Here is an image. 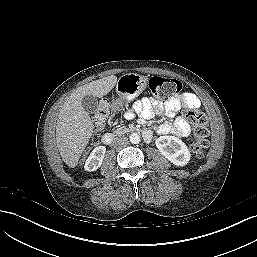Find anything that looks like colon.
Instances as JSON below:
<instances>
[{
  "label": "colon",
  "mask_w": 257,
  "mask_h": 257,
  "mask_svg": "<svg viewBox=\"0 0 257 257\" xmlns=\"http://www.w3.org/2000/svg\"><path fill=\"white\" fill-rule=\"evenodd\" d=\"M149 88L155 97L165 100L178 92L180 82L173 78L153 76L149 80ZM110 106L111 101L109 99H104L99 103L94 118L96 128H101L103 126L109 115ZM185 118L194 128L195 139L191 146L192 154L195 158H200L204 155L205 149L209 145L207 117L198 109H188L185 111Z\"/></svg>",
  "instance_id": "5ec220e1"
}]
</instances>
